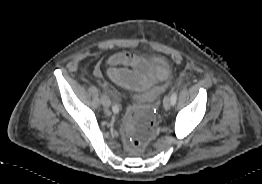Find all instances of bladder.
Here are the masks:
<instances>
[{"instance_id":"obj_1","label":"bladder","mask_w":262,"mask_h":184,"mask_svg":"<svg viewBox=\"0 0 262 184\" xmlns=\"http://www.w3.org/2000/svg\"><path fill=\"white\" fill-rule=\"evenodd\" d=\"M157 92H158V88L156 87L151 88L147 90L146 92L138 94L137 99L143 102L149 101L150 99H152L155 96Z\"/></svg>"}]
</instances>
